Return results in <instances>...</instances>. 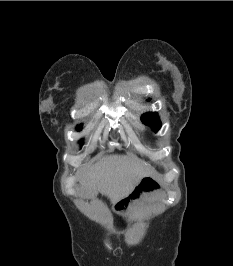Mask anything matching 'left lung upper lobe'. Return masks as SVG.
Returning <instances> with one entry per match:
<instances>
[{
  "mask_svg": "<svg viewBox=\"0 0 233 266\" xmlns=\"http://www.w3.org/2000/svg\"><path fill=\"white\" fill-rule=\"evenodd\" d=\"M141 121L157 132L161 127V122L157 113L147 112L141 116Z\"/></svg>",
  "mask_w": 233,
  "mask_h": 266,
  "instance_id": "obj_1",
  "label": "left lung upper lobe"
}]
</instances>
